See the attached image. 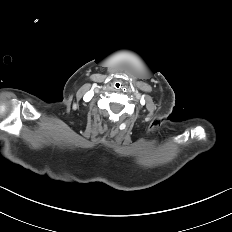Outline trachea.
<instances>
[{"label":"trachea","instance_id":"obj_1","mask_svg":"<svg viewBox=\"0 0 232 232\" xmlns=\"http://www.w3.org/2000/svg\"><path fill=\"white\" fill-rule=\"evenodd\" d=\"M124 84L121 81H116L113 83V87L116 90H121L123 88Z\"/></svg>","mask_w":232,"mask_h":232}]
</instances>
